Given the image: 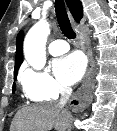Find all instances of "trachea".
<instances>
[{
	"instance_id": "1",
	"label": "trachea",
	"mask_w": 117,
	"mask_h": 131,
	"mask_svg": "<svg viewBox=\"0 0 117 131\" xmlns=\"http://www.w3.org/2000/svg\"><path fill=\"white\" fill-rule=\"evenodd\" d=\"M55 12L59 27L68 39H75L76 33L71 27L63 0H55Z\"/></svg>"
}]
</instances>
